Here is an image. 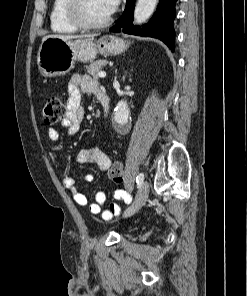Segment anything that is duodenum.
Segmentation results:
<instances>
[{"label":"duodenum","mask_w":247,"mask_h":296,"mask_svg":"<svg viewBox=\"0 0 247 296\" xmlns=\"http://www.w3.org/2000/svg\"><path fill=\"white\" fill-rule=\"evenodd\" d=\"M96 96L101 105L103 106L105 112H107L110 108V98L108 94L104 90L100 89L97 91Z\"/></svg>","instance_id":"obj_1"}]
</instances>
